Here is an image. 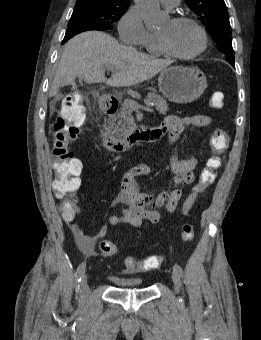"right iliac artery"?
Masks as SVG:
<instances>
[{
  "label": "right iliac artery",
  "mask_w": 261,
  "mask_h": 340,
  "mask_svg": "<svg viewBox=\"0 0 261 340\" xmlns=\"http://www.w3.org/2000/svg\"><path fill=\"white\" fill-rule=\"evenodd\" d=\"M85 268H86V263L85 262H82L78 268H77V271L75 273V284H76V292L77 294L81 292L80 290V282H81V279L85 273Z\"/></svg>",
  "instance_id": "1"
}]
</instances>
